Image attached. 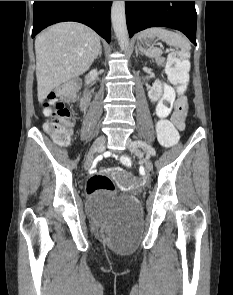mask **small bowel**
I'll list each match as a JSON object with an SVG mask.
<instances>
[{"mask_svg":"<svg viewBox=\"0 0 233 295\" xmlns=\"http://www.w3.org/2000/svg\"><path fill=\"white\" fill-rule=\"evenodd\" d=\"M187 108V99L184 96L176 97L174 88L171 85L163 84L162 98L156 106V116L160 120H166L173 110L171 121L177 129L182 130L185 127ZM116 170L121 171L120 169Z\"/></svg>","mask_w":233,"mask_h":295,"instance_id":"small-bowel-1","label":"small bowel"}]
</instances>
